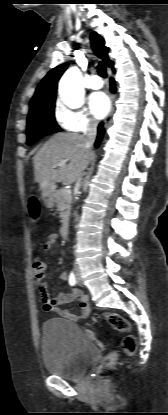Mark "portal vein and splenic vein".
Wrapping results in <instances>:
<instances>
[{
    "label": "portal vein and splenic vein",
    "mask_w": 168,
    "mask_h": 415,
    "mask_svg": "<svg viewBox=\"0 0 168 415\" xmlns=\"http://www.w3.org/2000/svg\"><path fill=\"white\" fill-rule=\"evenodd\" d=\"M68 161L67 160H62L60 162H58L57 164L54 165V167H60V166H64ZM66 194H71L72 191L71 189H67L65 190Z\"/></svg>",
    "instance_id": "1"
}]
</instances>
